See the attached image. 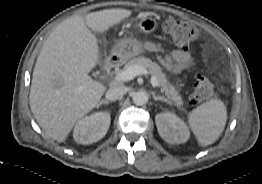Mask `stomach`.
Wrapping results in <instances>:
<instances>
[{
  "mask_svg": "<svg viewBox=\"0 0 262 184\" xmlns=\"http://www.w3.org/2000/svg\"><path fill=\"white\" fill-rule=\"evenodd\" d=\"M137 28L144 34L152 33L157 29L158 23L155 18L149 15H142L137 24ZM142 43L133 38H124L117 42L111 51V57L126 61L143 53Z\"/></svg>",
  "mask_w": 262,
  "mask_h": 184,
  "instance_id": "obj_1",
  "label": "stomach"
}]
</instances>
